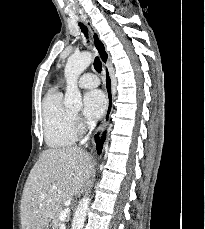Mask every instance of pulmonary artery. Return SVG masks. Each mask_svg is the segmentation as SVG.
Segmentation results:
<instances>
[{
    "mask_svg": "<svg viewBox=\"0 0 205 229\" xmlns=\"http://www.w3.org/2000/svg\"><path fill=\"white\" fill-rule=\"evenodd\" d=\"M78 85L82 88H94L99 85V79L93 73H85L79 78Z\"/></svg>",
    "mask_w": 205,
    "mask_h": 229,
    "instance_id": "pulmonary-artery-1",
    "label": "pulmonary artery"
}]
</instances>
